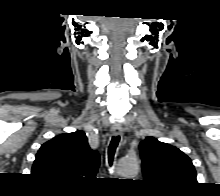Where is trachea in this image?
I'll return each instance as SVG.
<instances>
[{"label":"trachea","mask_w":220,"mask_h":196,"mask_svg":"<svg viewBox=\"0 0 220 196\" xmlns=\"http://www.w3.org/2000/svg\"><path fill=\"white\" fill-rule=\"evenodd\" d=\"M119 142H120L119 135L112 137V139L110 141V144L108 147V162H109L110 166H112V164H113L114 155H115L116 149L119 145Z\"/></svg>","instance_id":"obj_1"}]
</instances>
